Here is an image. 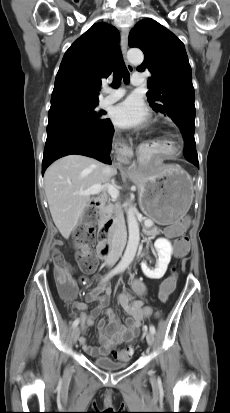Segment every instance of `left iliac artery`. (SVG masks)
I'll return each instance as SVG.
<instances>
[{"mask_svg": "<svg viewBox=\"0 0 230 413\" xmlns=\"http://www.w3.org/2000/svg\"><path fill=\"white\" fill-rule=\"evenodd\" d=\"M149 329H150V332H152L153 334H155L156 329H155V327H154L153 325H150Z\"/></svg>", "mask_w": 230, "mask_h": 413, "instance_id": "44dca946", "label": "left iliac artery"}]
</instances>
